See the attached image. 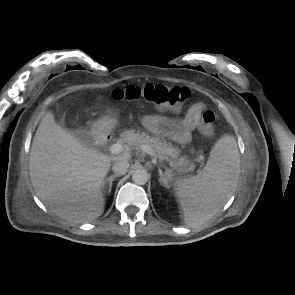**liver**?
I'll use <instances>...</instances> for the list:
<instances>
[{"label":"liver","mask_w":295,"mask_h":295,"mask_svg":"<svg viewBox=\"0 0 295 295\" xmlns=\"http://www.w3.org/2000/svg\"><path fill=\"white\" fill-rule=\"evenodd\" d=\"M130 154L107 156L83 145L46 113L35 133L29 157V174L37 196L59 217L88 222L105 207L103 184L111 162Z\"/></svg>","instance_id":"obj_1"}]
</instances>
